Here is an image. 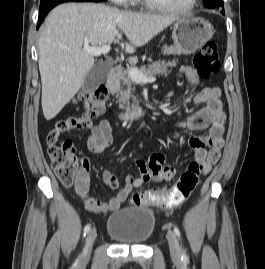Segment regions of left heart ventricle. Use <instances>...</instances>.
<instances>
[{
	"instance_id": "1",
	"label": "left heart ventricle",
	"mask_w": 265,
	"mask_h": 269,
	"mask_svg": "<svg viewBox=\"0 0 265 269\" xmlns=\"http://www.w3.org/2000/svg\"><path fill=\"white\" fill-rule=\"evenodd\" d=\"M158 1L170 6L184 7L188 5L191 0H158Z\"/></svg>"
}]
</instances>
